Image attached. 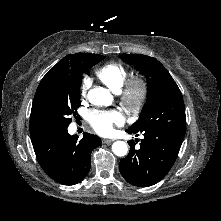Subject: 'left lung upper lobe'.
Here are the masks:
<instances>
[{
	"mask_svg": "<svg viewBox=\"0 0 221 221\" xmlns=\"http://www.w3.org/2000/svg\"><path fill=\"white\" fill-rule=\"evenodd\" d=\"M119 57L127 64L134 66L148 82V100L139 119L129 129L185 131L186 125L179 127L180 121L186 122L182 94L165 67L157 59L146 55L123 54Z\"/></svg>",
	"mask_w": 221,
	"mask_h": 221,
	"instance_id": "1",
	"label": "left lung upper lobe"
}]
</instances>
